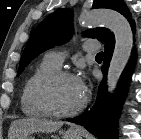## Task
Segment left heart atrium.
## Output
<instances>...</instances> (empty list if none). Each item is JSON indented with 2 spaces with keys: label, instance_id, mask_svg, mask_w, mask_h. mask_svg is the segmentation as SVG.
Masks as SVG:
<instances>
[{
  "label": "left heart atrium",
  "instance_id": "1",
  "mask_svg": "<svg viewBox=\"0 0 141 139\" xmlns=\"http://www.w3.org/2000/svg\"><path fill=\"white\" fill-rule=\"evenodd\" d=\"M77 79H78V82H79L81 91H82V93L85 95V94H86V91H87L85 82H84L83 79H81V78H77Z\"/></svg>",
  "mask_w": 141,
  "mask_h": 139
}]
</instances>
